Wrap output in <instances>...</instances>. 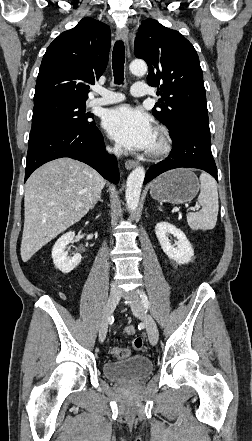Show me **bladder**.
Instances as JSON below:
<instances>
[{"label":"bladder","instance_id":"obj_1","mask_svg":"<svg viewBox=\"0 0 252 441\" xmlns=\"http://www.w3.org/2000/svg\"><path fill=\"white\" fill-rule=\"evenodd\" d=\"M152 361L142 355L129 356L116 362H105L103 365L104 376L118 383L139 382L152 372Z\"/></svg>","mask_w":252,"mask_h":441}]
</instances>
